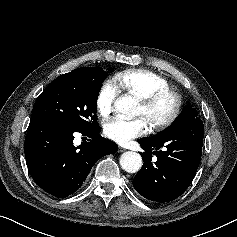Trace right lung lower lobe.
<instances>
[{"mask_svg": "<svg viewBox=\"0 0 237 237\" xmlns=\"http://www.w3.org/2000/svg\"><path fill=\"white\" fill-rule=\"evenodd\" d=\"M100 126L77 130L45 120H30L24 151L28 170L44 191L58 198L76 192L92 166L103 156L117 151L116 143L100 136ZM88 142L74 146V133Z\"/></svg>", "mask_w": 237, "mask_h": 237, "instance_id": "98d812e1", "label": "right lung lower lobe"}]
</instances>
